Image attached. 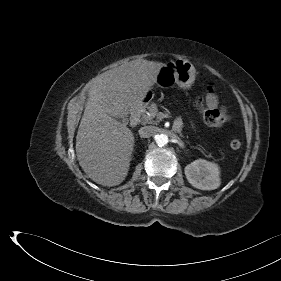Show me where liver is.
Here are the masks:
<instances>
[{"mask_svg":"<svg viewBox=\"0 0 281 281\" xmlns=\"http://www.w3.org/2000/svg\"><path fill=\"white\" fill-rule=\"evenodd\" d=\"M163 66L134 60L92 79L76 136V155L83 171L97 184L116 186L127 176L134 135L115 118L124 119L144 106Z\"/></svg>","mask_w":281,"mask_h":281,"instance_id":"obj_1","label":"liver"}]
</instances>
